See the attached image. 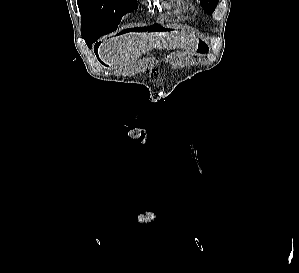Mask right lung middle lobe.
<instances>
[{
    "label": "right lung middle lobe",
    "mask_w": 299,
    "mask_h": 273,
    "mask_svg": "<svg viewBox=\"0 0 299 273\" xmlns=\"http://www.w3.org/2000/svg\"><path fill=\"white\" fill-rule=\"evenodd\" d=\"M81 13V34H108L121 19L138 8L137 0H77Z\"/></svg>",
    "instance_id": "1"
}]
</instances>
